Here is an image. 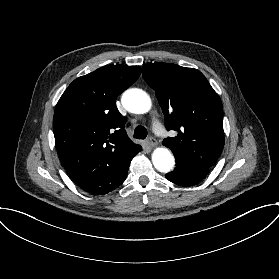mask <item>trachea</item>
<instances>
[{
	"mask_svg": "<svg viewBox=\"0 0 279 279\" xmlns=\"http://www.w3.org/2000/svg\"><path fill=\"white\" fill-rule=\"evenodd\" d=\"M147 136V130L143 126H137L134 131V138L145 139Z\"/></svg>",
	"mask_w": 279,
	"mask_h": 279,
	"instance_id": "1",
	"label": "trachea"
}]
</instances>
